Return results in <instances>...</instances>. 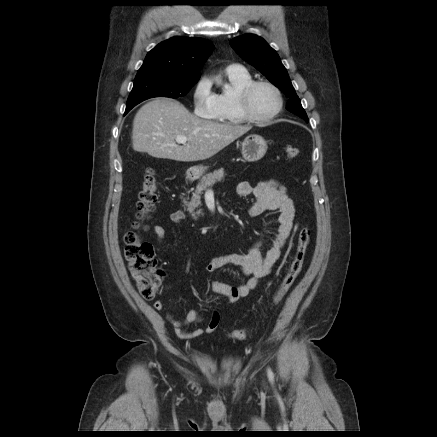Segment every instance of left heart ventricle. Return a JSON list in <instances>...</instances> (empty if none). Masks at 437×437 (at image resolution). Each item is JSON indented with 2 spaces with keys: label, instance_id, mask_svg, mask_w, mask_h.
<instances>
[{
  "label": "left heart ventricle",
  "instance_id": "b2bd125f",
  "mask_svg": "<svg viewBox=\"0 0 437 437\" xmlns=\"http://www.w3.org/2000/svg\"><path fill=\"white\" fill-rule=\"evenodd\" d=\"M277 107V98L272 89L267 86L257 87L251 96V108L255 115L266 117Z\"/></svg>",
  "mask_w": 437,
  "mask_h": 437
}]
</instances>
